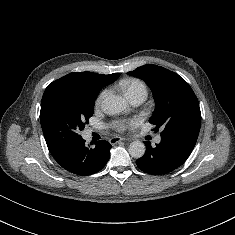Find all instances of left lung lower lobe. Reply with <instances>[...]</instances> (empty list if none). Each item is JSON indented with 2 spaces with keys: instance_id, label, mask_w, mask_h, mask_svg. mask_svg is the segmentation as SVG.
<instances>
[{
  "instance_id": "1",
  "label": "left lung lower lobe",
  "mask_w": 235,
  "mask_h": 235,
  "mask_svg": "<svg viewBox=\"0 0 235 235\" xmlns=\"http://www.w3.org/2000/svg\"><path fill=\"white\" fill-rule=\"evenodd\" d=\"M197 139L188 136H162L152 147L146 142L145 155L136 161L137 166L149 174L169 173L181 166L192 152Z\"/></svg>"
}]
</instances>
